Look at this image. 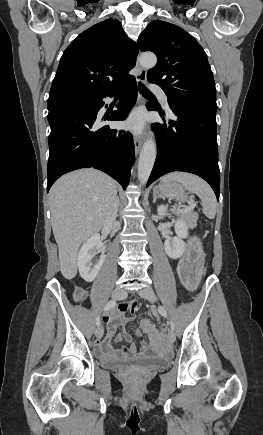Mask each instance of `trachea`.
<instances>
[{
    "mask_svg": "<svg viewBox=\"0 0 263 435\" xmlns=\"http://www.w3.org/2000/svg\"><path fill=\"white\" fill-rule=\"evenodd\" d=\"M138 88H139V92L144 97H154V95L147 89V87L143 83L139 82Z\"/></svg>",
    "mask_w": 263,
    "mask_h": 435,
    "instance_id": "1",
    "label": "trachea"
}]
</instances>
